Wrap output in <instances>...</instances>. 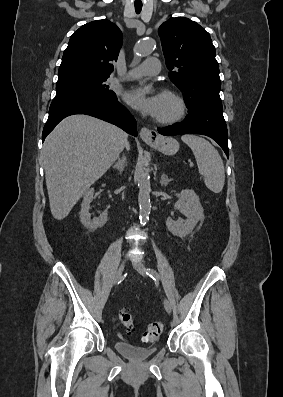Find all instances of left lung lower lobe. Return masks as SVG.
Masks as SVG:
<instances>
[{
	"mask_svg": "<svg viewBox=\"0 0 283 397\" xmlns=\"http://www.w3.org/2000/svg\"><path fill=\"white\" fill-rule=\"evenodd\" d=\"M157 129L160 134L165 136L187 133L209 136L222 147L229 157L228 132L223 111L203 106L193 107L188 109V115L184 121Z\"/></svg>",
	"mask_w": 283,
	"mask_h": 397,
	"instance_id": "obj_1",
	"label": "left lung lower lobe"
}]
</instances>
